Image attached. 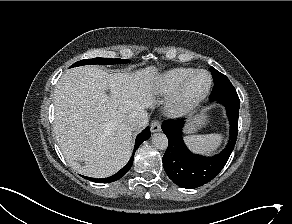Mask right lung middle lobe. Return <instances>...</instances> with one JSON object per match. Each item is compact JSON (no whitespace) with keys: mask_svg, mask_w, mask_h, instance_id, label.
Masks as SVG:
<instances>
[{"mask_svg":"<svg viewBox=\"0 0 292 224\" xmlns=\"http://www.w3.org/2000/svg\"><path fill=\"white\" fill-rule=\"evenodd\" d=\"M128 62L129 60H126V59L92 58V59H85V60L78 61L74 63L71 67L89 65V64L112 65L116 63H128Z\"/></svg>","mask_w":292,"mask_h":224,"instance_id":"obj_1","label":"right lung middle lobe"}]
</instances>
